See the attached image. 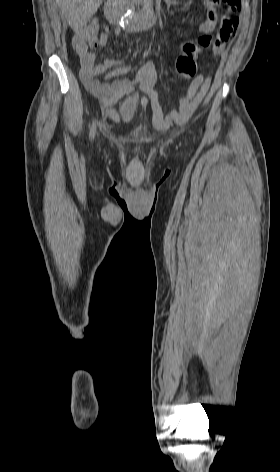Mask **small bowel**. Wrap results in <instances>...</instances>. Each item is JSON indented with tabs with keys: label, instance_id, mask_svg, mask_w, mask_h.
<instances>
[{
	"label": "small bowel",
	"instance_id": "1",
	"mask_svg": "<svg viewBox=\"0 0 280 472\" xmlns=\"http://www.w3.org/2000/svg\"><path fill=\"white\" fill-rule=\"evenodd\" d=\"M204 4L206 12L198 17L202 34L196 41H188L183 45L182 55L179 59L194 62L200 53L209 48L214 56H218L224 51L228 41L236 34L238 22L231 25L223 21L217 36L214 38L212 34L217 21L215 5L211 3V0H204ZM106 42L107 35L102 34L99 44L102 46ZM73 47L80 59V79L83 85L106 109L107 115L113 119L116 118V112L112 109L113 105L122 96L130 94L136 82H141V89L150 98L154 122L159 128H167L171 122L186 121L201 104L211 86L212 80L210 77L196 75L190 83L186 96L180 99L177 107L165 116L158 94L153 88L157 79V70L152 61L145 62L131 80L120 79L108 82V79L129 73L131 67L114 59L96 64L94 53L89 51L86 43L79 37L73 39ZM102 75H105L104 78L102 80L98 79Z\"/></svg>",
	"mask_w": 280,
	"mask_h": 472
}]
</instances>
